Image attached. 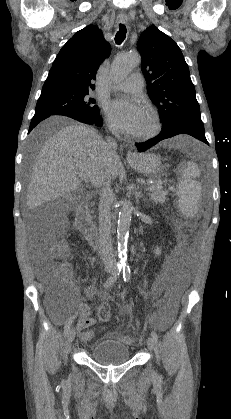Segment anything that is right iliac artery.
Instances as JSON below:
<instances>
[{
	"instance_id": "82829eb1",
	"label": "right iliac artery",
	"mask_w": 231,
	"mask_h": 419,
	"mask_svg": "<svg viewBox=\"0 0 231 419\" xmlns=\"http://www.w3.org/2000/svg\"><path fill=\"white\" fill-rule=\"evenodd\" d=\"M121 265H117L116 269L114 270V272L112 273V275L106 280V282L103 284V287H110L111 285L114 284V282H116L117 278L120 275V271H121ZM72 317L69 318L67 320V322L65 323V327H64V335L67 336L69 330H70V326L72 324Z\"/></svg>"
}]
</instances>
